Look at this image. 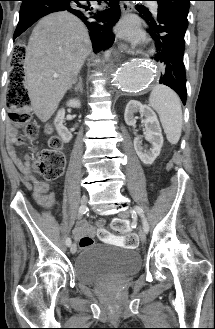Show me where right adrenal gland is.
Instances as JSON below:
<instances>
[{"label":"right adrenal gland","mask_w":215,"mask_h":329,"mask_svg":"<svg viewBox=\"0 0 215 329\" xmlns=\"http://www.w3.org/2000/svg\"><path fill=\"white\" fill-rule=\"evenodd\" d=\"M74 90L76 92H78V91L82 92L83 91V84H82V78H81V76H79V82H78V84H75L74 85Z\"/></svg>","instance_id":"2a0ac1e0"}]
</instances>
